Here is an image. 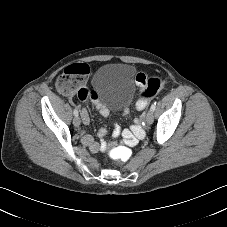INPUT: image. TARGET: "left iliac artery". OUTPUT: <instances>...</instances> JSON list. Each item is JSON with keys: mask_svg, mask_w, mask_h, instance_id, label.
<instances>
[{"mask_svg": "<svg viewBox=\"0 0 227 227\" xmlns=\"http://www.w3.org/2000/svg\"><path fill=\"white\" fill-rule=\"evenodd\" d=\"M155 108H156V102H154V103L151 105L150 110H151L152 112H154Z\"/></svg>", "mask_w": 227, "mask_h": 227, "instance_id": "1", "label": "left iliac artery"}]
</instances>
